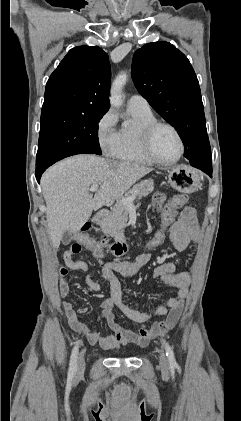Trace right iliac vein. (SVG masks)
I'll return each instance as SVG.
<instances>
[{
    "label": "right iliac vein",
    "instance_id": "1",
    "mask_svg": "<svg viewBox=\"0 0 241 421\" xmlns=\"http://www.w3.org/2000/svg\"><path fill=\"white\" fill-rule=\"evenodd\" d=\"M84 354H85V350H82L79 356V360H78V368H77L78 374H82L85 369V355Z\"/></svg>",
    "mask_w": 241,
    "mask_h": 421
}]
</instances>
